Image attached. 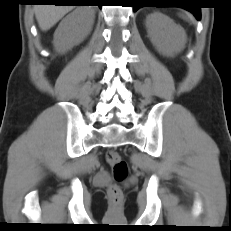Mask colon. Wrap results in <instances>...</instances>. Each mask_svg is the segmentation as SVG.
<instances>
[{"instance_id": "colon-1", "label": "colon", "mask_w": 231, "mask_h": 231, "mask_svg": "<svg viewBox=\"0 0 231 231\" xmlns=\"http://www.w3.org/2000/svg\"><path fill=\"white\" fill-rule=\"evenodd\" d=\"M106 161L112 169L115 181L118 183L123 182L128 176V165L121 155L116 151L110 150L106 153ZM108 194L114 201H118L122 196L117 184L109 188Z\"/></svg>"}]
</instances>
